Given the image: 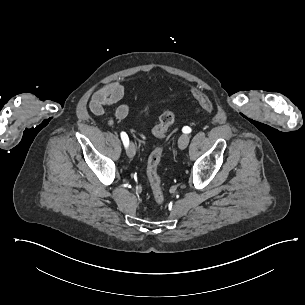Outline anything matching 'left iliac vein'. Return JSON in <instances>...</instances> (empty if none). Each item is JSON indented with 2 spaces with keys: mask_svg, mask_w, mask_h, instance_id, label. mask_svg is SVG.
<instances>
[{
  "mask_svg": "<svg viewBox=\"0 0 305 305\" xmlns=\"http://www.w3.org/2000/svg\"><path fill=\"white\" fill-rule=\"evenodd\" d=\"M189 136L187 134H182L180 137H179V140H178V146L181 148V149H184L188 146L189 144Z\"/></svg>",
  "mask_w": 305,
  "mask_h": 305,
  "instance_id": "1",
  "label": "left iliac vein"
}]
</instances>
